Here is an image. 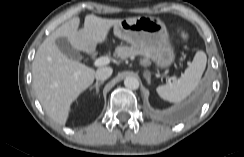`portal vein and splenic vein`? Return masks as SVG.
I'll return each mask as SVG.
<instances>
[{"label": "portal vein and splenic vein", "mask_w": 244, "mask_h": 157, "mask_svg": "<svg viewBox=\"0 0 244 157\" xmlns=\"http://www.w3.org/2000/svg\"><path fill=\"white\" fill-rule=\"evenodd\" d=\"M110 63V59L108 57H100L94 61L95 67H101Z\"/></svg>", "instance_id": "obj_1"}]
</instances>
